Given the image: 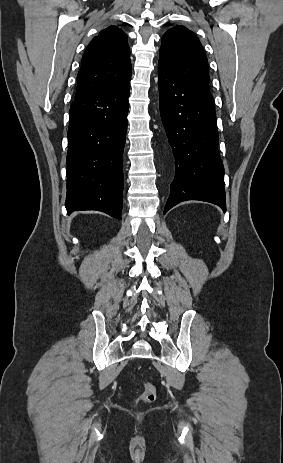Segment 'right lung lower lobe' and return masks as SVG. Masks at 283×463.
<instances>
[{"label":"right lung lower lobe","mask_w":283,"mask_h":463,"mask_svg":"<svg viewBox=\"0 0 283 463\" xmlns=\"http://www.w3.org/2000/svg\"><path fill=\"white\" fill-rule=\"evenodd\" d=\"M130 78L70 107L66 209L98 210L121 220L123 149Z\"/></svg>","instance_id":"obj_1"}]
</instances>
